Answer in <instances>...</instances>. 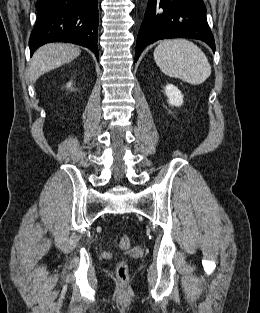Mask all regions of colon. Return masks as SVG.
<instances>
[{"mask_svg": "<svg viewBox=\"0 0 260 313\" xmlns=\"http://www.w3.org/2000/svg\"><path fill=\"white\" fill-rule=\"evenodd\" d=\"M114 244L121 249L130 247V239L127 236H119L114 239ZM116 276L120 281H126L128 278V264L126 261L118 263L116 268Z\"/></svg>", "mask_w": 260, "mask_h": 313, "instance_id": "obj_1", "label": "colon"}]
</instances>
